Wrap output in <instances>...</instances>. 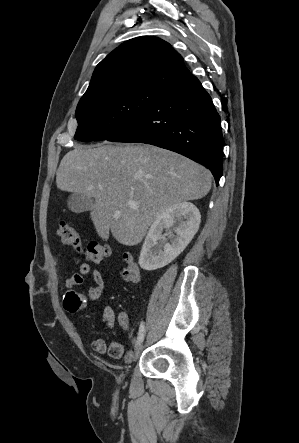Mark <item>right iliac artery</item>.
I'll list each match as a JSON object with an SVG mask.
<instances>
[{
  "label": "right iliac artery",
  "instance_id": "82829eb1",
  "mask_svg": "<svg viewBox=\"0 0 299 443\" xmlns=\"http://www.w3.org/2000/svg\"><path fill=\"white\" fill-rule=\"evenodd\" d=\"M144 336H145V325L143 322H141L140 327H139L138 336H137L136 346H138L142 343Z\"/></svg>",
  "mask_w": 299,
  "mask_h": 443
}]
</instances>
